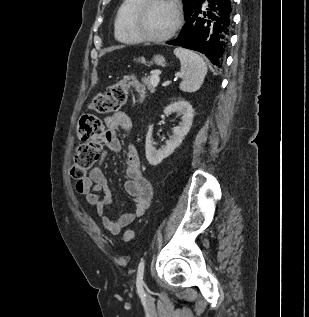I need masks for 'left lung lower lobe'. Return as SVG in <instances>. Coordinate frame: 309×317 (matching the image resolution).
I'll list each match as a JSON object with an SVG mask.
<instances>
[{"mask_svg":"<svg viewBox=\"0 0 309 317\" xmlns=\"http://www.w3.org/2000/svg\"><path fill=\"white\" fill-rule=\"evenodd\" d=\"M185 18L180 35L167 44L201 52L215 66L222 67L232 26L233 0H203L186 12Z\"/></svg>","mask_w":309,"mask_h":317,"instance_id":"0a47b994","label":"left lung lower lobe"}]
</instances>
